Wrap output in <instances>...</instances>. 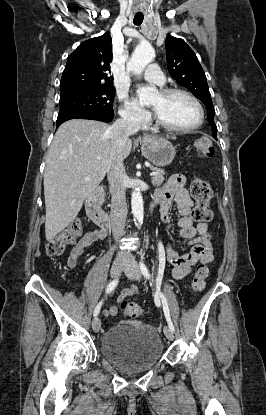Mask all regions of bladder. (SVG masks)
I'll use <instances>...</instances> for the list:
<instances>
[{"instance_id":"bladder-1","label":"bladder","mask_w":266,"mask_h":415,"mask_svg":"<svg viewBox=\"0 0 266 415\" xmlns=\"http://www.w3.org/2000/svg\"><path fill=\"white\" fill-rule=\"evenodd\" d=\"M102 355L126 373H140L154 367L163 356V344L151 326L118 324L109 328L101 341Z\"/></svg>"}]
</instances>
